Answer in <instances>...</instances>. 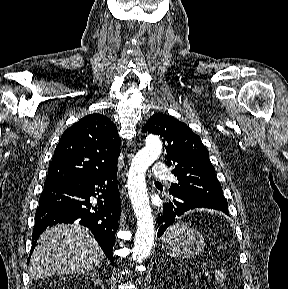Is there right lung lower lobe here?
<instances>
[{
  "label": "right lung lower lobe",
  "mask_w": 288,
  "mask_h": 289,
  "mask_svg": "<svg viewBox=\"0 0 288 289\" xmlns=\"http://www.w3.org/2000/svg\"><path fill=\"white\" fill-rule=\"evenodd\" d=\"M97 195V203H91L90 197ZM120 205L117 165L90 176L44 186L36 211L32 248L47 227L76 221L89 228L114 266L112 250Z\"/></svg>",
  "instance_id": "right-lung-lower-lobe-1"
}]
</instances>
